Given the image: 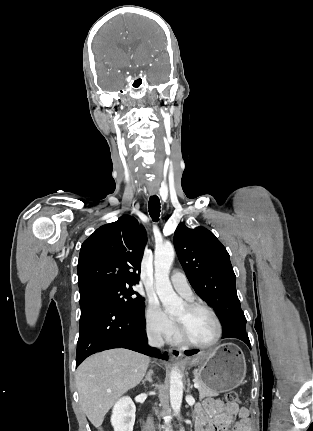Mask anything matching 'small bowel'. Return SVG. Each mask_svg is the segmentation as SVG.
Masks as SVG:
<instances>
[{
	"instance_id": "c3829d8e",
	"label": "small bowel",
	"mask_w": 313,
	"mask_h": 431,
	"mask_svg": "<svg viewBox=\"0 0 313 431\" xmlns=\"http://www.w3.org/2000/svg\"><path fill=\"white\" fill-rule=\"evenodd\" d=\"M235 419L232 431H253L247 408L207 399L195 409V431H229Z\"/></svg>"
}]
</instances>
